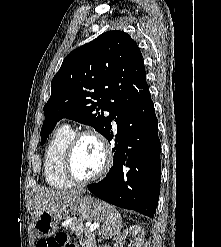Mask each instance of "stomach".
Listing matches in <instances>:
<instances>
[{"mask_svg":"<svg viewBox=\"0 0 221 247\" xmlns=\"http://www.w3.org/2000/svg\"><path fill=\"white\" fill-rule=\"evenodd\" d=\"M69 214L78 216V219L82 221H100L106 218L107 204L95 198L80 195L65 205L44 210L35 220V234L38 237L53 235L60 221Z\"/></svg>","mask_w":221,"mask_h":247,"instance_id":"obj_1","label":"stomach"}]
</instances>
